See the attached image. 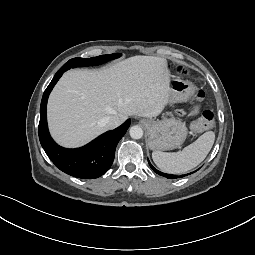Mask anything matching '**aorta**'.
<instances>
[{
	"mask_svg": "<svg viewBox=\"0 0 255 255\" xmlns=\"http://www.w3.org/2000/svg\"><path fill=\"white\" fill-rule=\"evenodd\" d=\"M129 134L133 139H140L143 136V130L140 126H132L129 130Z\"/></svg>",
	"mask_w": 255,
	"mask_h": 255,
	"instance_id": "1",
	"label": "aorta"
}]
</instances>
